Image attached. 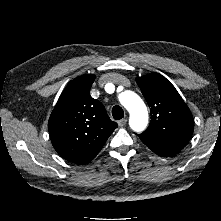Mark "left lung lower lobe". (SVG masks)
I'll list each match as a JSON object with an SVG mask.
<instances>
[{
    "mask_svg": "<svg viewBox=\"0 0 221 221\" xmlns=\"http://www.w3.org/2000/svg\"><path fill=\"white\" fill-rule=\"evenodd\" d=\"M139 138L160 156H171L178 153L189 141L186 138H166L148 132H143Z\"/></svg>",
    "mask_w": 221,
    "mask_h": 221,
    "instance_id": "obj_1",
    "label": "left lung lower lobe"
}]
</instances>
